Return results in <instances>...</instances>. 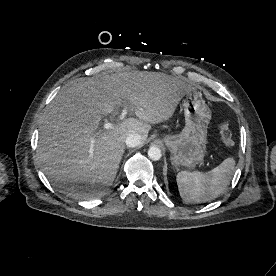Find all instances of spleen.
I'll return each mask as SVG.
<instances>
[{
	"label": "spleen",
	"mask_w": 276,
	"mask_h": 276,
	"mask_svg": "<svg viewBox=\"0 0 276 276\" xmlns=\"http://www.w3.org/2000/svg\"><path fill=\"white\" fill-rule=\"evenodd\" d=\"M235 164V160L229 157L206 173L179 172L176 181L181 198L187 203H202L217 198L229 185Z\"/></svg>",
	"instance_id": "3e777b00"
}]
</instances>
